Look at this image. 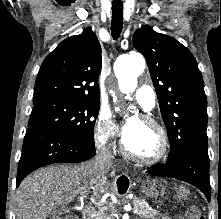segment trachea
Returning <instances> with one entry per match:
<instances>
[{
    "label": "trachea",
    "mask_w": 221,
    "mask_h": 219,
    "mask_svg": "<svg viewBox=\"0 0 221 219\" xmlns=\"http://www.w3.org/2000/svg\"><path fill=\"white\" fill-rule=\"evenodd\" d=\"M123 29V4L112 3L111 35L114 40L120 37Z\"/></svg>",
    "instance_id": "1"
}]
</instances>
